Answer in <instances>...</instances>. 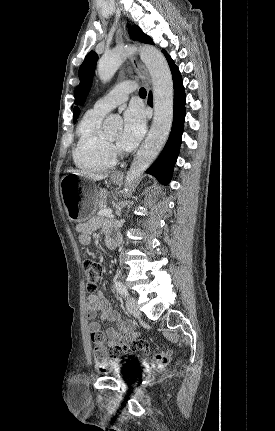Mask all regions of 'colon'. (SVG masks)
Listing matches in <instances>:
<instances>
[{
	"label": "colon",
	"mask_w": 275,
	"mask_h": 431,
	"mask_svg": "<svg viewBox=\"0 0 275 431\" xmlns=\"http://www.w3.org/2000/svg\"><path fill=\"white\" fill-rule=\"evenodd\" d=\"M83 269L86 276L87 289L90 292H94L103 274V265L98 260L87 258L83 261ZM91 340L94 344L95 362L102 372L112 371L121 364L129 365L132 363L128 358L122 359L120 357V353L123 349L143 353L144 359L149 361L155 367L165 366L171 357V353L168 350L150 357L149 345L143 340L133 341L125 347H116L108 350L104 345L105 336L100 330L91 333Z\"/></svg>",
	"instance_id": "obj_1"
}]
</instances>
